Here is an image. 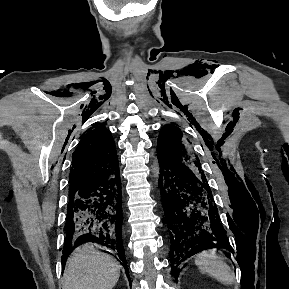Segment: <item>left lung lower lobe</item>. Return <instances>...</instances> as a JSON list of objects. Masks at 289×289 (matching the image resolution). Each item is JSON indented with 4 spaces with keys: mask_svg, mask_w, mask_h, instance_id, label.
Instances as JSON below:
<instances>
[{
    "mask_svg": "<svg viewBox=\"0 0 289 289\" xmlns=\"http://www.w3.org/2000/svg\"><path fill=\"white\" fill-rule=\"evenodd\" d=\"M158 160L171 273L177 279L180 264L192 255L210 248L231 249L207 180L184 163L162 155Z\"/></svg>",
    "mask_w": 289,
    "mask_h": 289,
    "instance_id": "left-lung-lower-lobe-1",
    "label": "left lung lower lobe"
}]
</instances>
